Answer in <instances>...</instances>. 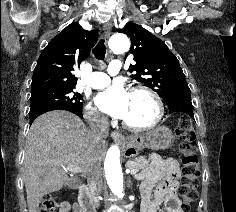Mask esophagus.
Here are the masks:
<instances>
[{
	"instance_id": "1",
	"label": "esophagus",
	"mask_w": 236,
	"mask_h": 212,
	"mask_svg": "<svg viewBox=\"0 0 236 212\" xmlns=\"http://www.w3.org/2000/svg\"><path fill=\"white\" fill-rule=\"evenodd\" d=\"M103 31H104L105 39H108L111 35L112 23L111 22L105 23L104 26H103ZM111 137L117 142L125 141V137L118 131H112L111 132Z\"/></svg>"
}]
</instances>
